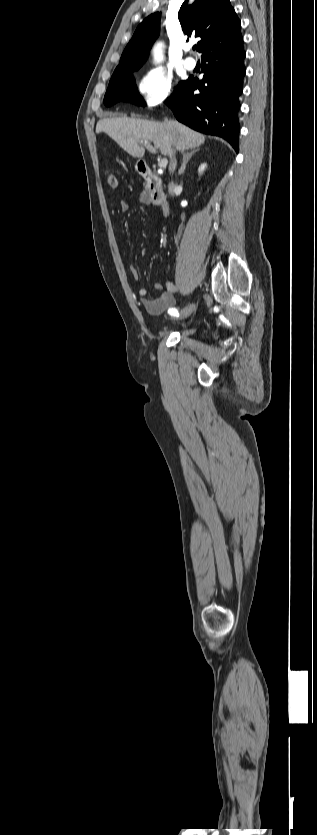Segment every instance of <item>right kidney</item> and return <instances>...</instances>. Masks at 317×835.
<instances>
[{
    "label": "right kidney",
    "instance_id": "right-kidney-1",
    "mask_svg": "<svg viewBox=\"0 0 317 835\" xmlns=\"http://www.w3.org/2000/svg\"><path fill=\"white\" fill-rule=\"evenodd\" d=\"M206 167H207L206 163L201 164L199 166V169H198L199 174H202Z\"/></svg>",
    "mask_w": 317,
    "mask_h": 835
}]
</instances>
